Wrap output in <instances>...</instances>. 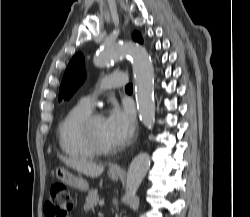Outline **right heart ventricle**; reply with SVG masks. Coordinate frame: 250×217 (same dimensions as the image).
<instances>
[{"instance_id": "right-heart-ventricle-1", "label": "right heart ventricle", "mask_w": 250, "mask_h": 217, "mask_svg": "<svg viewBox=\"0 0 250 217\" xmlns=\"http://www.w3.org/2000/svg\"><path fill=\"white\" fill-rule=\"evenodd\" d=\"M91 112V107L82 101L74 104L61 119L57 128V137L61 150L75 159H88L94 152L85 143L81 134L82 120Z\"/></svg>"}]
</instances>
